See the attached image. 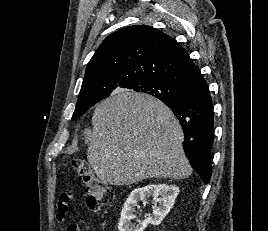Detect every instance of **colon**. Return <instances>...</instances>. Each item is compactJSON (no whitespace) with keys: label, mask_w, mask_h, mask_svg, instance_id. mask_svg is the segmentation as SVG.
<instances>
[{"label":"colon","mask_w":268,"mask_h":231,"mask_svg":"<svg viewBox=\"0 0 268 231\" xmlns=\"http://www.w3.org/2000/svg\"><path fill=\"white\" fill-rule=\"evenodd\" d=\"M70 166L85 188L87 205L90 210H101L112 202V190L89 170L84 160L74 159L70 161Z\"/></svg>","instance_id":"1"}]
</instances>
